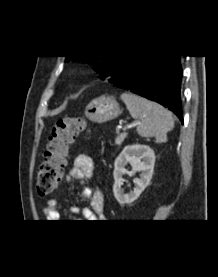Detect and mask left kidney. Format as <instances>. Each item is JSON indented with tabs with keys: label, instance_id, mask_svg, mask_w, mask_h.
<instances>
[{
	"label": "left kidney",
	"instance_id": "left-kidney-1",
	"mask_svg": "<svg viewBox=\"0 0 218 277\" xmlns=\"http://www.w3.org/2000/svg\"><path fill=\"white\" fill-rule=\"evenodd\" d=\"M128 163L132 166L131 172L125 168ZM154 164L155 153L149 146L133 144L126 146L122 150L115 160L113 172V193L120 204H130L140 196L150 183ZM136 172H140V178L133 179L135 188L129 193H124L121 188L124 182L123 175L128 173L132 176Z\"/></svg>",
	"mask_w": 218,
	"mask_h": 277
}]
</instances>
